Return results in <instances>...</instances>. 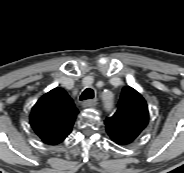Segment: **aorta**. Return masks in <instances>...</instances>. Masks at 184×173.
<instances>
[{"label": "aorta", "mask_w": 184, "mask_h": 173, "mask_svg": "<svg viewBox=\"0 0 184 173\" xmlns=\"http://www.w3.org/2000/svg\"><path fill=\"white\" fill-rule=\"evenodd\" d=\"M104 105H105L106 110L108 111L111 110L114 106L113 98L109 97V98L104 99Z\"/></svg>", "instance_id": "aorta-1"}]
</instances>
